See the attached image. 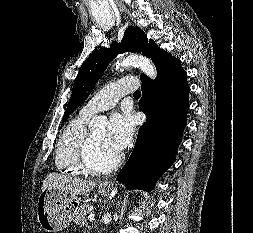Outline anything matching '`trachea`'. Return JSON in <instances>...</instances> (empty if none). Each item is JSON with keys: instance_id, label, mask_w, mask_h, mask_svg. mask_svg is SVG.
I'll use <instances>...</instances> for the list:
<instances>
[{"instance_id": "obj_1", "label": "trachea", "mask_w": 253, "mask_h": 233, "mask_svg": "<svg viewBox=\"0 0 253 233\" xmlns=\"http://www.w3.org/2000/svg\"><path fill=\"white\" fill-rule=\"evenodd\" d=\"M140 95H141V92L139 90L134 92V96H140Z\"/></svg>"}]
</instances>
